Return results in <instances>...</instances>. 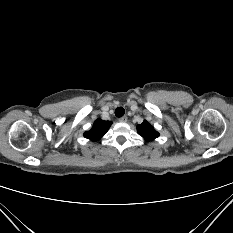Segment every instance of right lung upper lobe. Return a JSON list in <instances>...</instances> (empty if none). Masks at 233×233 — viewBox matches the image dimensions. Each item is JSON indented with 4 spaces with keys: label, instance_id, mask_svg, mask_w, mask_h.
<instances>
[{
    "label": "right lung upper lobe",
    "instance_id": "1",
    "mask_svg": "<svg viewBox=\"0 0 233 233\" xmlns=\"http://www.w3.org/2000/svg\"><path fill=\"white\" fill-rule=\"evenodd\" d=\"M112 122L97 119L91 130L84 133V137L92 141H98L110 128Z\"/></svg>",
    "mask_w": 233,
    "mask_h": 233
}]
</instances>
